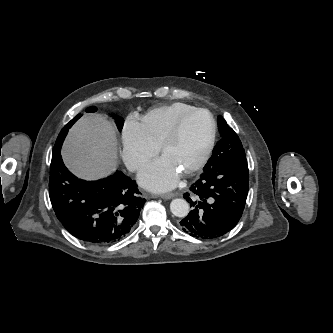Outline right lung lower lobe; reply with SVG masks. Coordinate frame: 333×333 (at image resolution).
I'll return each mask as SVG.
<instances>
[{
    "label": "right lung lower lobe",
    "instance_id": "right-lung-lower-lobe-1",
    "mask_svg": "<svg viewBox=\"0 0 333 333\" xmlns=\"http://www.w3.org/2000/svg\"><path fill=\"white\" fill-rule=\"evenodd\" d=\"M60 149L53 152L49 180L57 218L69 233L86 243L119 241L130 232L146 201L136 181L118 170L97 181L78 179L65 167Z\"/></svg>",
    "mask_w": 333,
    "mask_h": 333
}]
</instances>
